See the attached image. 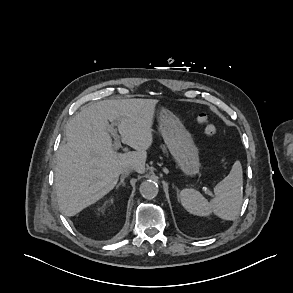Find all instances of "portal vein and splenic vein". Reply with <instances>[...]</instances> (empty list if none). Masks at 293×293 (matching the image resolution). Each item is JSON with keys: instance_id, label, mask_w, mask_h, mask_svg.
<instances>
[{"instance_id": "1", "label": "portal vein and splenic vein", "mask_w": 293, "mask_h": 293, "mask_svg": "<svg viewBox=\"0 0 293 293\" xmlns=\"http://www.w3.org/2000/svg\"><path fill=\"white\" fill-rule=\"evenodd\" d=\"M110 132L112 133V135L114 136V139H115L114 144H113L114 150L117 151L121 146L120 141H119V135L117 134V132L113 128L110 129Z\"/></svg>"}]
</instances>
